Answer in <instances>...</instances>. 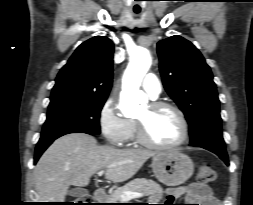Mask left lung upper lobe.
I'll return each mask as SVG.
<instances>
[{"label": "left lung upper lobe", "instance_id": "left-lung-upper-lobe-1", "mask_svg": "<svg viewBox=\"0 0 253 205\" xmlns=\"http://www.w3.org/2000/svg\"><path fill=\"white\" fill-rule=\"evenodd\" d=\"M157 52L164 87L189 123L190 145L225 148L216 85L202 54L177 35L159 41Z\"/></svg>", "mask_w": 253, "mask_h": 205}]
</instances>
